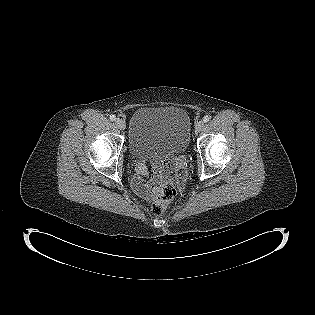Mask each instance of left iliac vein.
Masks as SVG:
<instances>
[{
    "label": "left iliac vein",
    "instance_id": "obj_1",
    "mask_svg": "<svg viewBox=\"0 0 315 315\" xmlns=\"http://www.w3.org/2000/svg\"><path fill=\"white\" fill-rule=\"evenodd\" d=\"M203 127H204L203 121H199L195 125V131L196 132H200L203 129Z\"/></svg>",
    "mask_w": 315,
    "mask_h": 315
}]
</instances>
